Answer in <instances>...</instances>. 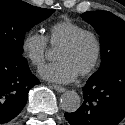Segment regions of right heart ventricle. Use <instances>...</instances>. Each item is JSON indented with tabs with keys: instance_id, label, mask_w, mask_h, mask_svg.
Segmentation results:
<instances>
[{
	"instance_id": "e07e8e85",
	"label": "right heart ventricle",
	"mask_w": 125,
	"mask_h": 125,
	"mask_svg": "<svg viewBox=\"0 0 125 125\" xmlns=\"http://www.w3.org/2000/svg\"><path fill=\"white\" fill-rule=\"evenodd\" d=\"M84 30V27L70 19L58 21L48 28L47 41L53 48H58L74 34Z\"/></svg>"
}]
</instances>
